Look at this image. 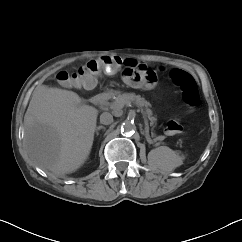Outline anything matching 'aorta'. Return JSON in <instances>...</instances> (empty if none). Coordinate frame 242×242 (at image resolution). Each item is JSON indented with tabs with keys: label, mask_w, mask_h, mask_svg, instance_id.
I'll return each mask as SVG.
<instances>
[{
	"label": "aorta",
	"mask_w": 242,
	"mask_h": 242,
	"mask_svg": "<svg viewBox=\"0 0 242 242\" xmlns=\"http://www.w3.org/2000/svg\"><path fill=\"white\" fill-rule=\"evenodd\" d=\"M121 130L125 131L126 133H133L136 130V126H135L134 122H132L130 120H126L123 123Z\"/></svg>",
	"instance_id": "762f6f07"
}]
</instances>
